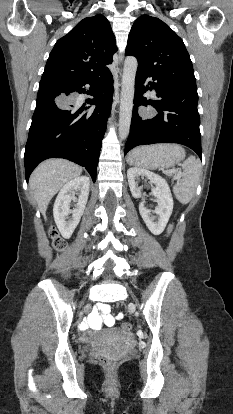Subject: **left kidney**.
<instances>
[{"mask_svg":"<svg viewBox=\"0 0 233 414\" xmlns=\"http://www.w3.org/2000/svg\"><path fill=\"white\" fill-rule=\"evenodd\" d=\"M139 176L147 177L150 183L154 184L152 194L156 197L157 207L153 212L157 216H152L151 210L145 206V199L142 197L141 189L136 182ZM127 177L132 196L134 198H142L139 204V212L145 224L152 234H161L173 211V198L166 180L153 172L137 167L129 168Z\"/></svg>","mask_w":233,"mask_h":414,"instance_id":"left-kidney-1","label":"left kidney"}]
</instances>
